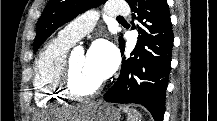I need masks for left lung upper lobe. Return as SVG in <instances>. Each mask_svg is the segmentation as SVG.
Wrapping results in <instances>:
<instances>
[{"label":"left lung upper lobe","mask_w":217,"mask_h":121,"mask_svg":"<svg viewBox=\"0 0 217 121\" xmlns=\"http://www.w3.org/2000/svg\"><path fill=\"white\" fill-rule=\"evenodd\" d=\"M105 2L106 0H50L37 23L34 52L57 28L78 14Z\"/></svg>","instance_id":"5c2ea615"}]
</instances>
